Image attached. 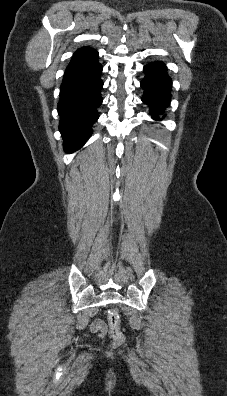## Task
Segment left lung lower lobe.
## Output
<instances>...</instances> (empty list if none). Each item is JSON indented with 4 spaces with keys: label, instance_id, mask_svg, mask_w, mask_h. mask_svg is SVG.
Instances as JSON below:
<instances>
[{
    "label": "left lung lower lobe",
    "instance_id": "1",
    "mask_svg": "<svg viewBox=\"0 0 227 396\" xmlns=\"http://www.w3.org/2000/svg\"><path fill=\"white\" fill-rule=\"evenodd\" d=\"M143 70L145 77L140 83L144 90L142 101L150 107L152 118L161 120L159 115L163 114L170 104L172 81L167 74L166 65L161 61L152 62Z\"/></svg>",
    "mask_w": 227,
    "mask_h": 396
}]
</instances>
